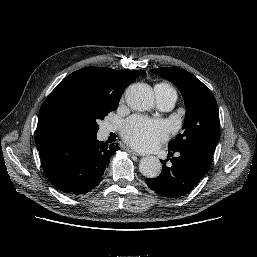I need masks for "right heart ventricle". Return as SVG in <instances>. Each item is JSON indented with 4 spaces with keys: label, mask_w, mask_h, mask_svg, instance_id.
<instances>
[{
    "label": "right heart ventricle",
    "mask_w": 257,
    "mask_h": 257,
    "mask_svg": "<svg viewBox=\"0 0 257 257\" xmlns=\"http://www.w3.org/2000/svg\"><path fill=\"white\" fill-rule=\"evenodd\" d=\"M155 87H159L161 90L165 91V92H170V93H173L175 94L174 90L172 89L171 86H169L168 84L166 83H160L158 85H156Z\"/></svg>",
    "instance_id": "obj_1"
}]
</instances>
